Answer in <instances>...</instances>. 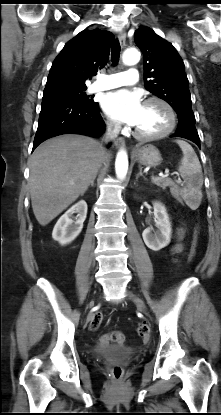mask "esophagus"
<instances>
[{
  "mask_svg": "<svg viewBox=\"0 0 221 415\" xmlns=\"http://www.w3.org/2000/svg\"><path fill=\"white\" fill-rule=\"evenodd\" d=\"M118 39H119V42H120L121 46H124L125 41H126V33L124 31L119 32ZM114 145L117 148H121L125 145V140L122 137L116 138L114 140Z\"/></svg>",
  "mask_w": 221,
  "mask_h": 415,
  "instance_id": "34e87169",
  "label": "esophagus"
}]
</instances>
